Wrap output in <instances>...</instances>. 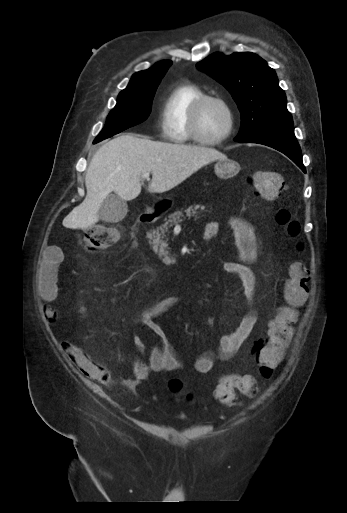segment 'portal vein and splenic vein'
Returning a JSON list of instances; mask_svg holds the SVG:
<instances>
[{
    "mask_svg": "<svg viewBox=\"0 0 347 513\" xmlns=\"http://www.w3.org/2000/svg\"><path fill=\"white\" fill-rule=\"evenodd\" d=\"M142 177L145 179H149V173H144ZM176 226H178V225H176Z\"/></svg>",
    "mask_w": 347,
    "mask_h": 513,
    "instance_id": "18ae733b",
    "label": "portal vein and splenic vein"
}]
</instances>
